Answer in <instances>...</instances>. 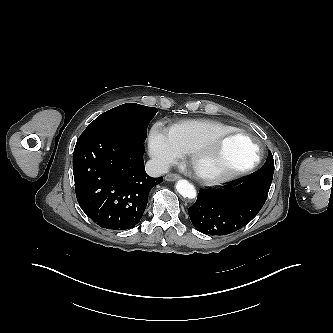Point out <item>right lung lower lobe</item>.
Instances as JSON below:
<instances>
[{
	"instance_id": "obj_1",
	"label": "right lung lower lobe",
	"mask_w": 333,
	"mask_h": 333,
	"mask_svg": "<svg viewBox=\"0 0 333 333\" xmlns=\"http://www.w3.org/2000/svg\"><path fill=\"white\" fill-rule=\"evenodd\" d=\"M144 141L114 133L81 134L74 149L78 203L102 228L126 230L139 223L150 189L163 177L146 174Z\"/></svg>"
}]
</instances>
